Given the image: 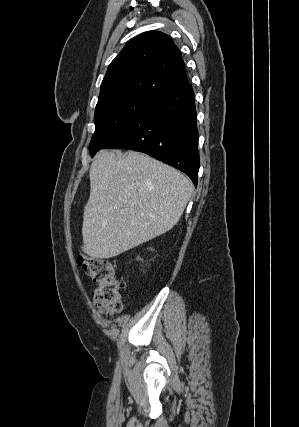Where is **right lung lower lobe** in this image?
Masks as SVG:
<instances>
[{
    "label": "right lung lower lobe",
    "mask_w": 299,
    "mask_h": 427,
    "mask_svg": "<svg viewBox=\"0 0 299 427\" xmlns=\"http://www.w3.org/2000/svg\"><path fill=\"white\" fill-rule=\"evenodd\" d=\"M195 97L191 85L156 98L104 148L146 153L186 173L195 186L199 171Z\"/></svg>",
    "instance_id": "98d812e1"
}]
</instances>
